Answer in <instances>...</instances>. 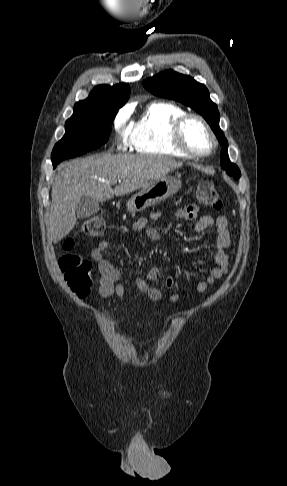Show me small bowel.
<instances>
[{
  "label": "small bowel",
  "instance_id": "c3829d8e",
  "mask_svg": "<svg viewBox=\"0 0 287 486\" xmlns=\"http://www.w3.org/2000/svg\"><path fill=\"white\" fill-rule=\"evenodd\" d=\"M162 216V211L152 212L149 216L141 217L136 220L132 225V229L135 232L143 233L152 241H158L161 239V234L158 229L149 226V222L157 220ZM174 217L177 219L195 220L194 229L197 232H203L213 226L216 229L217 236L215 239V251L213 255L215 267L210 271L205 280H201L196 284V290L198 292H204L210 285L226 275L229 271V257L227 254V248L230 245L229 222L223 215L216 218H213L210 215H199L198 207L196 205H188L176 210L174 212ZM108 247L109 242L107 240H101L91 251V257L96 262L100 271L98 292L100 296L104 298L112 295L122 298L125 295V286L121 280V273L103 256V252L106 251ZM161 278V269L157 266H153L148 269L146 279L140 277L135 279V285L139 291L149 299L158 301L164 297L168 290L175 286V278L171 275L166 276L163 279L162 287H154L147 282V280L158 281ZM182 297V293L172 292L169 296V300L176 303L179 302Z\"/></svg>",
  "mask_w": 287,
  "mask_h": 486
}]
</instances>
